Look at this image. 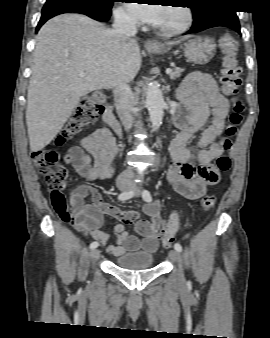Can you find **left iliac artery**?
I'll return each instance as SVG.
<instances>
[{
	"instance_id": "left-iliac-artery-1",
	"label": "left iliac artery",
	"mask_w": 270,
	"mask_h": 338,
	"mask_svg": "<svg viewBox=\"0 0 270 338\" xmlns=\"http://www.w3.org/2000/svg\"><path fill=\"white\" fill-rule=\"evenodd\" d=\"M142 197H143V200L146 201V202H151L152 201V196H151V194H150V192L148 190H144L142 192ZM174 249L177 250L178 252H181L182 251L181 244L180 243H175Z\"/></svg>"
}]
</instances>
